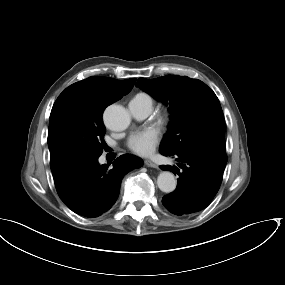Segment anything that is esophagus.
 I'll use <instances>...</instances> for the list:
<instances>
[{
    "instance_id": "esophagus-1",
    "label": "esophagus",
    "mask_w": 285,
    "mask_h": 285,
    "mask_svg": "<svg viewBox=\"0 0 285 285\" xmlns=\"http://www.w3.org/2000/svg\"><path fill=\"white\" fill-rule=\"evenodd\" d=\"M144 165L147 167L158 168V165L149 159L144 160Z\"/></svg>"
}]
</instances>
